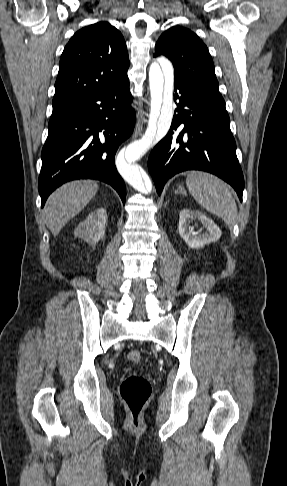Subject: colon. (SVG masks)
<instances>
[{"instance_id": "1", "label": "colon", "mask_w": 287, "mask_h": 486, "mask_svg": "<svg viewBox=\"0 0 287 486\" xmlns=\"http://www.w3.org/2000/svg\"><path fill=\"white\" fill-rule=\"evenodd\" d=\"M127 359L132 363H139L142 355L133 350L127 354ZM152 394L150 381L143 375L131 374L120 385V397L128 409L134 424H138L140 415L149 402Z\"/></svg>"}]
</instances>
